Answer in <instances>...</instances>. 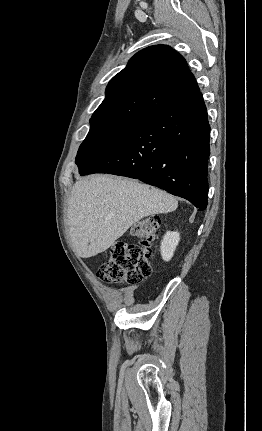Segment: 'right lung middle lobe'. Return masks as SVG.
Returning <instances> with one entry per match:
<instances>
[{
	"instance_id": "dd1d6c3e",
	"label": "right lung middle lobe",
	"mask_w": 262,
	"mask_h": 431,
	"mask_svg": "<svg viewBox=\"0 0 262 431\" xmlns=\"http://www.w3.org/2000/svg\"><path fill=\"white\" fill-rule=\"evenodd\" d=\"M134 125V123L118 122L91 125L89 133L80 145L76 156L79 173L96 162Z\"/></svg>"
}]
</instances>
